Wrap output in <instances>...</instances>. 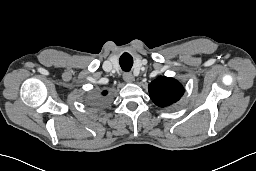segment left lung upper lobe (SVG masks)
<instances>
[{
  "label": "left lung upper lobe",
  "mask_w": 256,
  "mask_h": 171,
  "mask_svg": "<svg viewBox=\"0 0 256 171\" xmlns=\"http://www.w3.org/2000/svg\"><path fill=\"white\" fill-rule=\"evenodd\" d=\"M151 100L160 107L169 106L178 101L184 88L176 79L160 76L148 86Z\"/></svg>",
  "instance_id": "obj_1"
}]
</instances>
